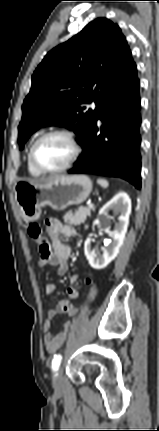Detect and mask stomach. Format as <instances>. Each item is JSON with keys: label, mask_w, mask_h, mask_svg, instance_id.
I'll return each mask as SVG.
<instances>
[{"label": "stomach", "mask_w": 159, "mask_h": 431, "mask_svg": "<svg viewBox=\"0 0 159 431\" xmlns=\"http://www.w3.org/2000/svg\"><path fill=\"white\" fill-rule=\"evenodd\" d=\"M92 187V181L85 175L58 176L42 184L19 181L15 185V200L22 218L33 221L40 217L45 206L63 210L83 203Z\"/></svg>", "instance_id": "0dacf381"}]
</instances>
